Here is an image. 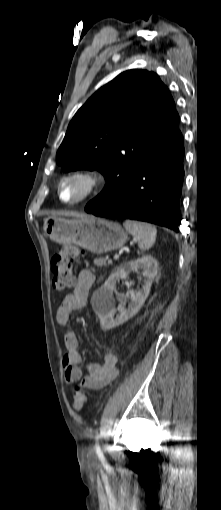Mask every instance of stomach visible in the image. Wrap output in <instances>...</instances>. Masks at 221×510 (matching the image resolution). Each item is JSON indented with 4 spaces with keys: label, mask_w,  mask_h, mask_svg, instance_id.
Masks as SVG:
<instances>
[{
    "label": "stomach",
    "mask_w": 221,
    "mask_h": 510,
    "mask_svg": "<svg viewBox=\"0 0 221 510\" xmlns=\"http://www.w3.org/2000/svg\"><path fill=\"white\" fill-rule=\"evenodd\" d=\"M44 233L60 244H75L95 254L121 248L128 236L119 223L94 216L44 219Z\"/></svg>",
    "instance_id": "obj_1"
}]
</instances>
